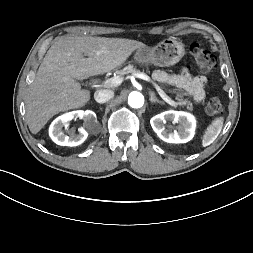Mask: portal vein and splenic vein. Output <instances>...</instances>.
<instances>
[{
  "mask_svg": "<svg viewBox=\"0 0 253 253\" xmlns=\"http://www.w3.org/2000/svg\"><path fill=\"white\" fill-rule=\"evenodd\" d=\"M135 77L137 78H140L142 80H145L147 82H151L153 84V86L155 87V89L157 90L158 94L160 95V97L165 101L167 102L169 105L171 106H174L175 105V102L172 101L168 96H166V94L164 93V91L160 88V86H158L155 82H153L151 80V78L144 74V73H135L134 74ZM123 81V78L122 77H119V76H116V77H112L108 80H106L104 82V86H107V87H116L118 85H120Z\"/></svg>",
  "mask_w": 253,
  "mask_h": 253,
  "instance_id": "obj_1",
  "label": "portal vein and splenic vein"
}]
</instances>
